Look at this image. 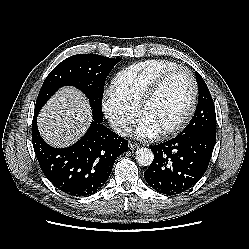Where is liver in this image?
Instances as JSON below:
<instances>
[{"label":"liver","instance_id":"6515ba94","mask_svg":"<svg viewBox=\"0 0 249 249\" xmlns=\"http://www.w3.org/2000/svg\"><path fill=\"white\" fill-rule=\"evenodd\" d=\"M91 122V108L84 94L64 87L45 105L39 115L41 135L55 147H66L85 133Z\"/></svg>","mask_w":249,"mask_h":249}]
</instances>
